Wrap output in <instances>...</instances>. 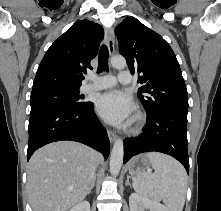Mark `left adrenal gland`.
I'll return each instance as SVG.
<instances>
[{"label":"left adrenal gland","instance_id":"left-adrenal-gland-1","mask_svg":"<svg viewBox=\"0 0 221 211\" xmlns=\"http://www.w3.org/2000/svg\"><path fill=\"white\" fill-rule=\"evenodd\" d=\"M129 178H130V176L127 175V180H126V183H125L126 186H130Z\"/></svg>","mask_w":221,"mask_h":211}]
</instances>
